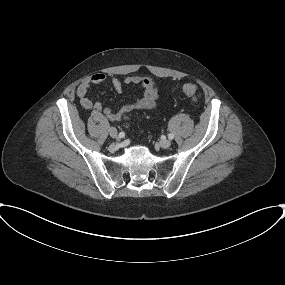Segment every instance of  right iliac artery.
<instances>
[{"label":"right iliac artery","mask_w":285,"mask_h":285,"mask_svg":"<svg viewBox=\"0 0 285 285\" xmlns=\"http://www.w3.org/2000/svg\"><path fill=\"white\" fill-rule=\"evenodd\" d=\"M124 136H125V133H124V132H120V133H119V137H120V138H123Z\"/></svg>","instance_id":"right-iliac-artery-1"}]
</instances>
